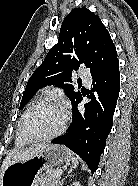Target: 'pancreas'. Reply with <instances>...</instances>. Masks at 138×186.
Listing matches in <instances>:
<instances>
[{"label": "pancreas", "instance_id": "obj_1", "mask_svg": "<svg viewBox=\"0 0 138 186\" xmlns=\"http://www.w3.org/2000/svg\"><path fill=\"white\" fill-rule=\"evenodd\" d=\"M56 171L57 170H49L44 174H40L36 178L34 186H59L60 178L54 176Z\"/></svg>", "mask_w": 138, "mask_h": 186}]
</instances>
